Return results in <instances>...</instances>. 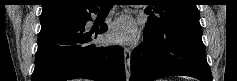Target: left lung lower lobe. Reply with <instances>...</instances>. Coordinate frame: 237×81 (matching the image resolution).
I'll return each instance as SVG.
<instances>
[{"label": "left lung lower lobe", "mask_w": 237, "mask_h": 81, "mask_svg": "<svg viewBox=\"0 0 237 81\" xmlns=\"http://www.w3.org/2000/svg\"><path fill=\"white\" fill-rule=\"evenodd\" d=\"M181 75L212 81L202 42V27L169 25L155 33L144 30V42L131 54V81Z\"/></svg>", "instance_id": "obj_1"}]
</instances>
